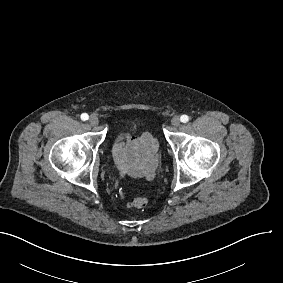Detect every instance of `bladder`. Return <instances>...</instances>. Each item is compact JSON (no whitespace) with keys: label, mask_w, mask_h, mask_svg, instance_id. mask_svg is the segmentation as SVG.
Returning <instances> with one entry per match:
<instances>
[{"label":"bladder","mask_w":283,"mask_h":283,"mask_svg":"<svg viewBox=\"0 0 283 283\" xmlns=\"http://www.w3.org/2000/svg\"><path fill=\"white\" fill-rule=\"evenodd\" d=\"M130 131L134 134L137 133L138 132V126L134 125L132 128H130Z\"/></svg>","instance_id":"1"}]
</instances>
